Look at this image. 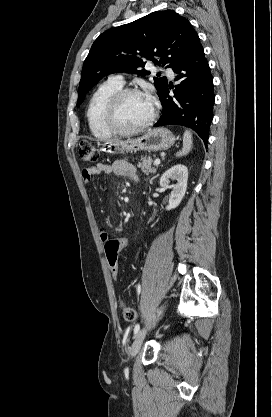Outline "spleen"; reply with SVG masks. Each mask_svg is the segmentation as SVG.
Wrapping results in <instances>:
<instances>
[{
	"label": "spleen",
	"mask_w": 272,
	"mask_h": 417,
	"mask_svg": "<svg viewBox=\"0 0 272 417\" xmlns=\"http://www.w3.org/2000/svg\"><path fill=\"white\" fill-rule=\"evenodd\" d=\"M192 145V134L190 131L186 130L183 135V148L176 154V156L181 157L187 155L191 151Z\"/></svg>",
	"instance_id": "1"
}]
</instances>
